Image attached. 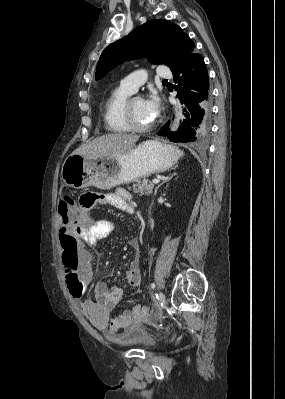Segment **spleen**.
I'll list each match as a JSON object with an SVG mask.
<instances>
[{
	"label": "spleen",
	"mask_w": 285,
	"mask_h": 399,
	"mask_svg": "<svg viewBox=\"0 0 285 399\" xmlns=\"http://www.w3.org/2000/svg\"><path fill=\"white\" fill-rule=\"evenodd\" d=\"M175 151L177 153L178 158L183 157V155H184L183 151L179 150L178 148H175Z\"/></svg>",
	"instance_id": "1"
}]
</instances>
